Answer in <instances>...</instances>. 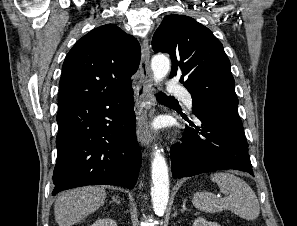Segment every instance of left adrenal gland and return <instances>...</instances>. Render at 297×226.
<instances>
[{
  "label": "left adrenal gland",
  "mask_w": 297,
  "mask_h": 226,
  "mask_svg": "<svg viewBox=\"0 0 297 226\" xmlns=\"http://www.w3.org/2000/svg\"><path fill=\"white\" fill-rule=\"evenodd\" d=\"M188 210L186 208V199L183 200V205H182V209H181V212L183 213L184 211Z\"/></svg>",
  "instance_id": "1"
}]
</instances>
